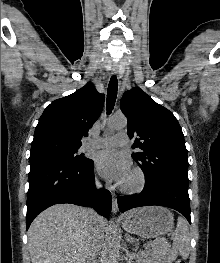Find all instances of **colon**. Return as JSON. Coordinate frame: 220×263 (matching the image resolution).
<instances>
[{"label":"colon","mask_w":220,"mask_h":263,"mask_svg":"<svg viewBox=\"0 0 220 263\" xmlns=\"http://www.w3.org/2000/svg\"><path fill=\"white\" fill-rule=\"evenodd\" d=\"M174 263H185V261L182 260V259H178V260H176Z\"/></svg>","instance_id":"obj_1"}]
</instances>
